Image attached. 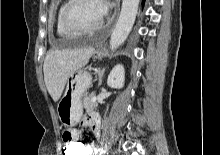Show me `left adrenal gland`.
<instances>
[{"label":"left adrenal gland","instance_id":"left-adrenal-gland-1","mask_svg":"<svg viewBox=\"0 0 220 155\" xmlns=\"http://www.w3.org/2000/svg\"><path fill=\"white\" fill-rule=\"evenodd\" d=\"M104 71H105V68L103 69H98V87L102 84V77H103V74H104Z\"/></svg>","mask_w":220,"mask_h":155}]
</instances>
